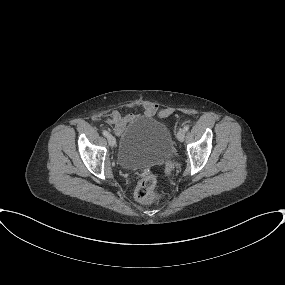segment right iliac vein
<instances>
[{
    "mask_svg": "<svg viewBox=\"0 0 285 285\" xmlns=\"http://www.w3.org/2000/svg\"><path fill=\"white\" fill-rule=\"evenodd\" d=\"M107 139H108V143L111 147H114L116 145V139L112 135H109L107 137Z\"/></svg>",
    "mask_w": 285,
    "mask_h": 285,
    "instance_id": "obj_1",
    "label": "right iliac vein"
}]
</instances>
